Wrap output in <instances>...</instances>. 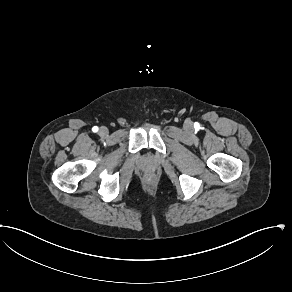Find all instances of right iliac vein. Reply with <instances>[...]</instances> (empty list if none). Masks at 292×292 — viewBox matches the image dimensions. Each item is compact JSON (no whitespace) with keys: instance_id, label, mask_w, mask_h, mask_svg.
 Segmentation results:
<instances>
[{"instance_id":"63e3f726","label":"right iliac vein","mask_w":292,"mask_h":292,"mask_svg":"<svg viewBox=\"0 0 292 292\" xmlns=\"http://www.w3.org/2000/svg\"><path fill=\"white\" fill-rule=\"evenodd\" d=\"M108 133H109V130L107 127H105V126L100 127V129H99L100 136L105 137L108 135Z\"/></svg>"}]
</instances>
